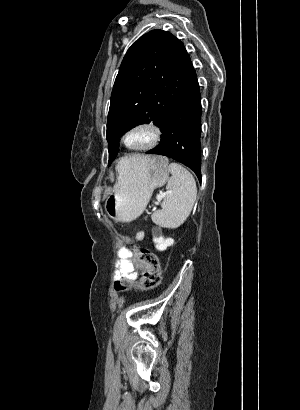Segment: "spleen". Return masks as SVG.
Segmentation results:
<instances>
[{
	"instance_id": "3e777b00",
	"label": "spleen",
	"mask_w": 300,
	"mask_h": 410,
	"mask_svg": "<svg viewBox=\"0 0 300 410\" xmlns=\"http://www.w3.org/2000/svg\"><path fill=\"white\" fill-rule=\"evenodd\" d=\"M127 167V162L121 159L116 169L119 174ZM172 174L166 189L167 195L161 204V210L151 215L152 221L164 228H177L190 215L196 200L197 187L193 175L178 163H171Z\"/></svg>"
}]
</instances>
